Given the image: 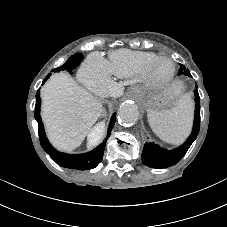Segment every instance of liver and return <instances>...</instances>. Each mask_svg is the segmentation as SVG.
<instances>
[{
    "mask_svg": "<svg viewBox=\"0 0 227 227\" xmlns=\"http://www.w3.org/2000/svg\"><path fill=\"white\" fill-rule=\"evenodd\" d=\"M164 95L167 103L174 97ZM42 118L48 137L59 150L72 152L81 145L102 113V105L66 75L52 77L42 88ZM102 133L94 147L101 142Z\"/></svg>",
    "mask_w": 227,
    "mask_h": 227,
    "instance_id": "1",
    "label": "liver"
}]
</instances>
